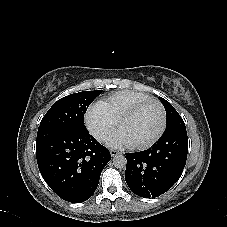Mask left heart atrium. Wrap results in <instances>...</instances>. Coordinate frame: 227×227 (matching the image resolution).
I'll return each instance as SVG.
<instances>
[{
    "label": "left heart atrium",
    "instance_id": "left-heart-atrium-1",
    "mask_svg": "<svg viewBox=\"0 0 227 227\" xmlns=\"http://www.w3.org/2000/svg\"><path fill=\"white\" fill-rule=\"evenodd\" d=\"M109 146L120 149L125 147L130 148L133 146V143L121 131H118L110 139Z\"/></svg>",
    "mask_w": 227,
    "mask_h": 227
}]
</instances>
